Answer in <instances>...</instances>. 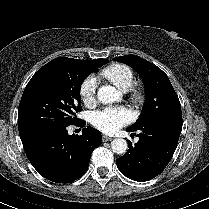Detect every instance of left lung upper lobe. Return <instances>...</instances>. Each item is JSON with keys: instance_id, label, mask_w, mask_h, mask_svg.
I'll return each instance as SVG.
<instances>
[{"instance_id": "obj_1", "label": "left lung upper lobe", "mask_w": 209, "mask_h": 209, "mask_svg": "<svg viewBox=\"0 0 209 209\" xmlns=\"http://www.w3.org/2000/svg\"><path fill=\"white\" fill-rule=\"evenodd\" d=\"M131 66L142 77L145 85V103L139 119L130 129H140L161 122L182 123L181 105L178 95L167 75L155 64L137 55L113 58Z\"/></svg>"}]
</instances>
